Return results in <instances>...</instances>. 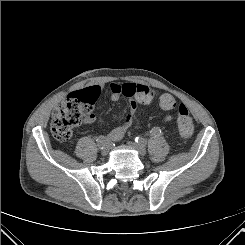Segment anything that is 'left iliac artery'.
Here are the masks:
<instances>
[{"label":"left iliac artery","instance_id":"obj_1","mask_svg":"<svg viewBox=\"0 0 245 245\" xmlns=\"http://www.w3.org/2000/svg\"><path fill=\"white\" fill-rule=\"evenodd\" d=\"M160 133H161V130L158 129V128H154V129L151 130V134L154 135V136H158V135H160ZM143 140H145V139L142 138V137H136L135 138V142L140 143V144H142Z\"/></svg>","mask_w":245,"mask_h":245}]
</instances>
